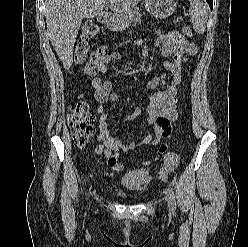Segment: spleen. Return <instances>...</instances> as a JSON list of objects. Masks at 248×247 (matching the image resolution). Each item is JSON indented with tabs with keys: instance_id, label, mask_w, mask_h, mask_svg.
Wrapping results in <instances>:
<instances>
[{
	"instance_id": "1",
	"label": "spleen",
	"mask_w": 248,
	"mask_h": 247,
	"mask_svg": "<svg viewBox=\"0 0 248 247\" xmlns=\"http://www.w3.org/2000/svg\"><path fill=\"white\" fill-rule=\"evenodd\" d=\"M189 15L192 19L193 28L198 34H203L208 19V7L200 0H189Z\"/></svg>"
}]
</instances>
